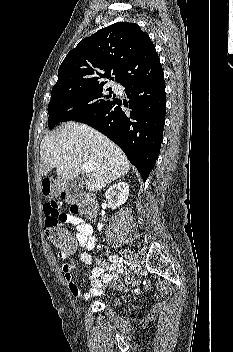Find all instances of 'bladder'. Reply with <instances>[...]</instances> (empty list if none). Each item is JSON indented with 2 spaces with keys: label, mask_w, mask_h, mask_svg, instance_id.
Returning a JSON list of instances; mask_svg holds the SVG:
<instances>
[{
  "label": "bladder",
  "mask_w": 233,
  "mask_h": 352,
  "mask_svg": "<svg viewBox=\"0 0 233 352\" xmlns=\"http://www.w3.org/2000/svg\"><path fill=\"white\" fill-rule=\"evenodd\" d=\"M110 303H111L112 305H116V304L118 303V299L115 298V297H112L111 300H110Z\"/></svg>",
  "instance_id": "31cf9c89"
}]
</instances>
